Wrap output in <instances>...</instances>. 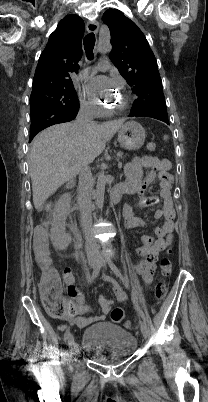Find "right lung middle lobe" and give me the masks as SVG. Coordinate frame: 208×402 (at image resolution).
I'll use <instances>...</instances> for the list:
<instances>
[{"label":"right lung middle lobe","instance_id":"dd1d6c3e","mask_svg":"<svg viewBox=\"0 0 208 402\" xmlns=\"http://www.w3.org/2000/svg\"><path fill=\"white\" fill-rule=\"evenodd\" d=\"M79 108L72 80L41 86L30 96L31 119L40 115H61Z\"/></svg>","mask_w":208,"mask_h":402}]
</instances>
